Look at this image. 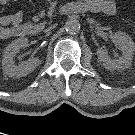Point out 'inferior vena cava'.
<instances>
[{
	"label": "inferior vena cava",
	"instance_id": "obj_1",
	"mask_svg": "<svg viewBox=\"0 0 135 135\" xmlns=\"http://www.w3.org/2000/svg\"><path fill=\"white\" fill-rule=\"evenodd\" d=\"M53 28H54V26L49 27L48 29L45 30V32H48V31H50V30L53 29Z\"/></svg>",
	"mask_w": 135,
	"mask_h": 135
}]
</instances>
